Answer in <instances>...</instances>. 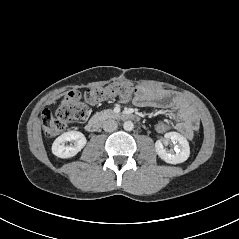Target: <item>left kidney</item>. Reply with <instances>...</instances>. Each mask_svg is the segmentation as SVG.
Wrapping results in <instances>:
<instances>
[{
    "mask_svg": "<svg viewBox=\"0 0 239 239\" xmlns=\"http://www.w3.org/2000/svg\"><path fill=\"white\" fill-rule=\"evenodd\" d=\"M166 140L178 143L177 151L175 154L169 153L164 148L161 140L156 141L155 150L158 156L169 164H179L186 161L190 155V147L187 139L177 132H168L164 135Z\"/></svg>",
    "mask_w": 239,
    "mask_h": 239,
    "instance_id": "5707ae66",
    "label": "left kidney"
}]
</instances>
